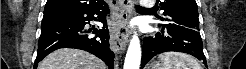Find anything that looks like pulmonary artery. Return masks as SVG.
<instances>
[{
	"label": "pulmonary artery",
	"mask_w": 246,
	"mask_h": 69,
	"mask_svg": "<svg viewBox=\"0 0 246 69\" xmlns=\"http://www.w3.org/2000/svg\"><path fill=\"white\" fill-rule=\"evenodd\" d=\"M141 5L144 7V8H147V9H151L154 5L153 2H146V1H142L141 2Z\"/></svg>",
	"instance_id": "e3ab8cb5"
}]
</instances>
